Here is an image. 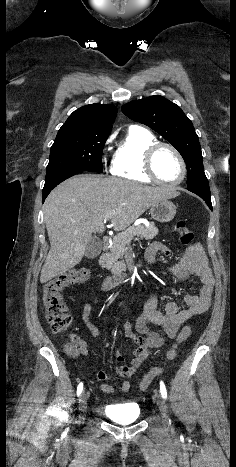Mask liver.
I'll return each instance as SVG.
<instances>
[{"label": "liver", "mask_w": 236, "mask_h": 467, "mask_svg": "<svg viewBox=\"0 0 236 467\" xmlns=\"http://www.w3.org/2000/svg\"><path fill=\"white\" fill-rule=\"evenodd\" d=\"M172 187H150L119 178L81 174L56 187L44 203L50 250L41 270L46 283L76 266L94 232L110 218L115 231L128 228L153 204L177 197Z\"/></svg>", "instance_id": "6515ba94"}]
</instances>
